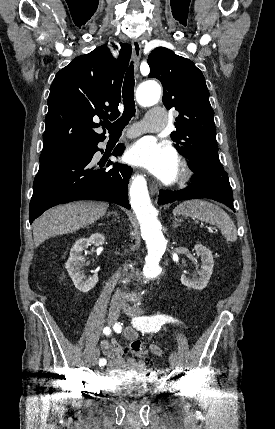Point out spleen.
I'll use <instances>...</instances> for the list:
<instances>
[{
  "label": "spleen",
  "instance_id": "1",
  "mask_svg": "<svg viewBox=\"0 0 275 429\" xmlns=\"http://www.w3.org/2000/svg\"><path fill=\"white\" fill-rule=\"evenodd\" d=\"M174 215L197 218L220 228L228 242L237 240V230L230 216L219 206L204 200H188L179 204L173 211Z\"/></svg>",
  "mask_w": 275,
  "mask_h": 429
}]
</instances>
